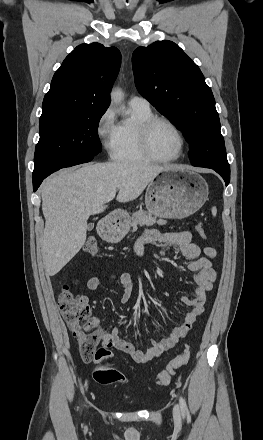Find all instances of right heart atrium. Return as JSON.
Returning <instances> with one entry per match:
<instances>
[{
    "mask_svg": "<svg viewBox=\"0 0 263 440\" xmlns=\"http://www.w3.org/2000/svg\"><path fill=\"white\" fill-rule=\"evenodd\" d=\"M96 133L103 148L112 154L118 138V124L112 107L106 108L98 118Z\"/></svg>",
    "mask_w": 263,
    "mask_h": 440,
    "instance_id": "obj_1",
    "label": "right heart atrium"
}]
</instances>
